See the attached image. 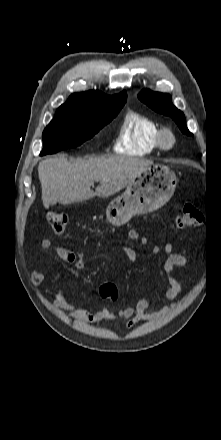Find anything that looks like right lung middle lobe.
Listing matches in <instances>:
<instances>
[{
    "label": "right lung middle lobe",
    "instance_id": "obj_1",
    "mask_svg": "<svg viewBox=\"0 0 221 440\" xmlns=\"http://www.w3.org/2000/svg\"><path fill=\"white\" fill-rule=\"evenodd\" d=\"M121 108H58L54 119L43 132L44 148L40 155L81 145L116 117Z\"/></svg>",
    "mask_w": 221,
    "mask_h": 440
}]
</instances>
